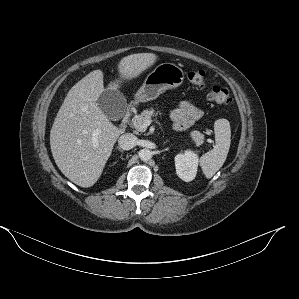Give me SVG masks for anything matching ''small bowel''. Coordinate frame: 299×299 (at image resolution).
Wrapping results in <instances>:
<instances>
[{
	"label": "small bowel",
	"mask_w": 299,
	"mask_h": 299,
	"mask_svg": "<svg viewBox=\"0 0 299 299\" xmlns=\"http://www.w3.org/2000/svg\"><path fill=\"white\" fill-rule=\"evenodd\" d=\"M202 116L203 111L189 99L181 101L170 112V118L174 122L173 128L178 131L189 128Z\"/></svg>",
	"instance_id": "obj_1"
}]
</instances>
